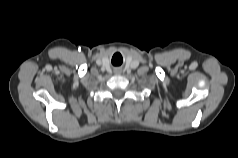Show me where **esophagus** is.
<instances>
[{"instance_id":"esophagus-1","label":"esophagus","mask_w":238,"mask_h":158,"mask_svg":"<svg viewBox=\"0 0 238 158\" xmlns=\"http://www.w3.org/2000/svg\"><path fill=\"white\" fill-rule=\"evenodd\" d=\"M115 73H116V74H119V73H120V70H115Z\"/></svg>"}]
</instances>
